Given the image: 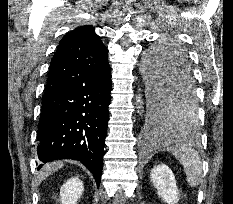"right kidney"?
I'll return each instance as SVG.
<instances>
[{"mask_svg": "<svg viewBox=\"0 0 233 204\" xmlns=\"http://www.w3.org/2000/svg\"><path fill=\"white\" fill-rule=\"evenodd\" d=\"M83 190V182L78 177L67 180L60 189L61 204H76Z\"/></svg>", "mask_w": 233, "mask_h": 204, "instance_id": "right-kidney-1", "label": "right kidney"}]
</instances>
